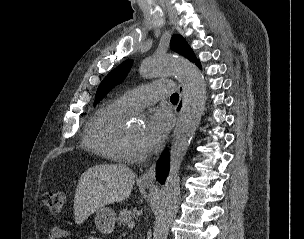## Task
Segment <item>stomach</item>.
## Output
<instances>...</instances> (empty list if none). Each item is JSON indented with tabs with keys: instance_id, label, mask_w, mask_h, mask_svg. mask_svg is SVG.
Segmentation results:
<instances>
[{
	"instance_id": "1",
	"label": "stomach",
	"mask_w": 304,
	"mask_h": 239,
	"mask_svg": "<svg viewBox=\"0 0 304 239\" xmlns=\"http://www.w3.org/2000/svg\"><path fill=\"white\" fill-rule=\"evenodd\" d=\"M116 214L113 209L101 207L96 211L95 224L103 234H110L115 228Z\"/></svg>"
}]
</instances>
